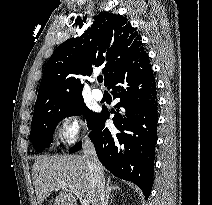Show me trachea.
Returning <instances> with one entry per match:
<instances>
[{
  "label": "trachea",
  "instance_id": "obj_1",
  "mask_svg": "<svg viewBox=\"0 0 212 205\" xmlns=\"http://www.w3.org/2000/svg\"><path fill=\"white\" fill-rule=\"evenodd\" d=\"M97 80H98L99 83H102V82H103V76H99V77L97 78Z\"/></svg>",
  "mask_w": 212,
  "mask_h": 205
}]
</instances>
